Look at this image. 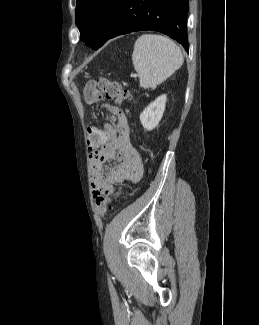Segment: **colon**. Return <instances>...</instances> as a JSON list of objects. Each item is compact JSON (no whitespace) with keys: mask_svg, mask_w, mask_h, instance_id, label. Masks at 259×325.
I'll list each match as a JSON object with an SVG mask.
<instances>
[{"mask_svg":"<svg viewBox=\"0 0 259 325\" xmlns=\"http://www.w3.org/2000/svg\"><path fill=\"white\" fill-rule=\"evenodd\" d=\"M84 98L86 102L96 104L103 99L114 100L116 102L126 101L130 94L129 91L118 81L111 80L105 77H98L88 81L84 87ZM88 132L91 135L86 136L89 149H98L101 141V136L98 135L97 125H88ZM111 199L105 196L96 198L97 210L100 216L104 217L111 209Z\"/></svg>","mask_w":259,"mask_h":325,"instance_id":"obj_1","label":"colon"}]
</instances>
